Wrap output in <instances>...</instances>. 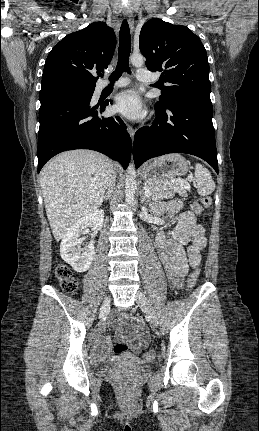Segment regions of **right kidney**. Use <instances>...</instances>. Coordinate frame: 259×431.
<instances>
[{
	"instance_id": "right-kidney-1",
	"label": "right kidney",
	"mask_w": 259,
	"mask_h": 431,
	"mask_svg": "<svg viewBox=\"0 0 259 431\" xmlns=\"http://www.w3.org/2000/svg\"><path fill=\"white\" fill-rule=\"evenodd\" d=\"M104 221V211L94 210L86 216L77 220L64 235L60 253L64 261L72 266L77 272H85L89 269L95 254L94 241H91L85 248H81V235L89 226L93 231L102 228Z\"/></svg>"
}]
</instances>
